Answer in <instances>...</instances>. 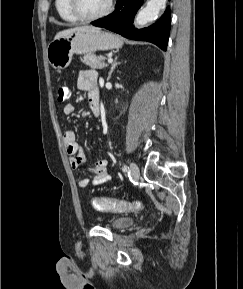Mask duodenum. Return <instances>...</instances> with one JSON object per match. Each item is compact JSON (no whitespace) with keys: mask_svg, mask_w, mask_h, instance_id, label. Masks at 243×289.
<instances>
[{"mask_svg":"<svg viewBox=\"0 0 243 289\" xmlns=\"http://www.w3.org/2000/svg\"><path fill=\"white\" fill-rule=\"evenodd\" d=\"M95 98L97 99V101L99 100V91H96Z\"/></svg>","mask_w":243,"mask_h":289,"instance_id":"410a0bca","label":"duodenum"}]
</instances>
